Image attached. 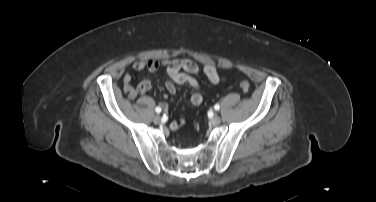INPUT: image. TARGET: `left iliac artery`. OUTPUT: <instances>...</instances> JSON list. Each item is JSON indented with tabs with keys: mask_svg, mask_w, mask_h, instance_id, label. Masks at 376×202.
<instances>
[{
	"mask_svg": "<svg viewBox=\"0 0 376 202\" xmlns=\"http://www.w3.org/2000/svg\"><path fill=\"white\" fill-rule=\"evenodd\" d=\"M214 109L218 111V110L220 109L219 104H216V105L214 106Z\"/></svg>",
	"mask_w": 376,
	"mask_h": 202,
	"instance_id": "44dca946",
	"label": "left iliac artery"
}]
</instances>
